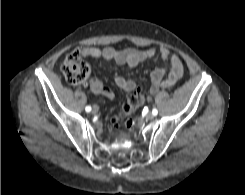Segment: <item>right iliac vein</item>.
Masks as SVG:
<instances>
[{"instance_id": "obj_1", "label": "right iliac vein", "mask_w": 245, "mask_h": 195, "mask_svg": "<svg viewBox=\"0 0 245 195\" xmlns=\"http://www.w3.org/2000/svg\"><path fill=\"white\" fill-rule=\"evenodd\" d=\"M98 110H99L98 106L94 105L92 108V113L96 114L98 112Z\"/></svg>"}]
</instances>
